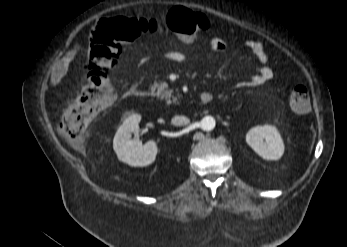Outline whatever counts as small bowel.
I'll list each match as a JSON object with an SVG mask.
<instances>
[{
	"instance_id": "c3829d8e",
	"label": "small bowel",
	"mask_w": 347,
	"mask_h": 247,
	"mask_svg": "<svg viewBox=\"0 0 347 247\" xmlns=\"http://www.w3.org/2000/svg\"><path fill=\"white\" fill-rule=\"evenodd\" d=\"M226 47V41L223 38H211L210 48L213 51L223 52L225 51ZM245 47L252 53V55L260 65L258 72L252 75L250 79L245 83V85L256 87L265 84L273 77L274 71L263 44L255 40H247ZM165 57L171 62H185L187 60V55L181 51H170L166 54ZM145 61L146 59H143L141 63L143 64L145 63ZM67 66L68 63L64 60L54 64L52 68V77L58 81L66 71Z\"/></svg>"
}]
</instances>
